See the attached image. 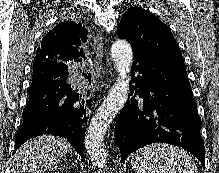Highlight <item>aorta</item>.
Instances as JSON below:
<instances>
[{
	"label": "aorta",
	"instance_id": "1",
	"mask_svg": "<svg viewBox=\"0 0 219 173\" xmlns=\"http://www.w3.org/2000/svg\"><path fill=\"white\" fill-rule=\"evenodd\" d=\"M111 57L119 76L103 104L92 117L84 140L92 164L99 168L107 164L104 136L128 98L129 72L133 60L131 45L125 40L116 41L111 47Z\"/></svg>",
	"mask_w": 219,
	"mask_h": 173
}]
</instances>
